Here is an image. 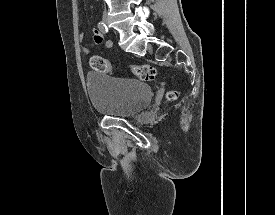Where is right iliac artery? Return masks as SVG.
<instances>
[{"label":"right iliac artery","instance_id":"right-iliac-artery-1","mask_svg":"<svg viewBox=\"0 0 275 215\" xmlns=\"http://www.w3.org/2000/svg\"><path fill=\"white\" fill-rule=\"evenodd\" d=\"M98 28L100 29V31L103 33V34H106L108 32V27L106 26L105 23L103 22H99L98 23Z\"/></svg>","mask_w":275,"mask_h":215}]
</instances>
